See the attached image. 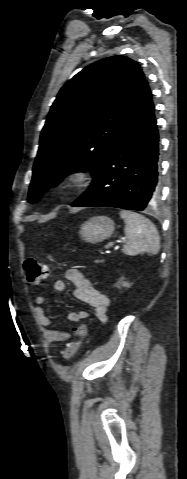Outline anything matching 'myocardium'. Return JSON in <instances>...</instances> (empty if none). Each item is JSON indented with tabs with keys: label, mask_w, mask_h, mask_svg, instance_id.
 Masks as SVG:
<instances>
[{
	"label": "myocardium",
	"mask_w": 187,
	"mask_h": 479,
	"mask_svg": "<svg viewBox=\"0 0 187 479\" xmlns=\"http://www.w3.org/2000/svg\"><path fill=\"white\" fill-rule=\"evenodd\" d=\"M90 181V173L82 168H76L64 173L57 182L61 193H72L85 187Z\"/></svg>",
	"instance_id": "1"
}]
</instances>
